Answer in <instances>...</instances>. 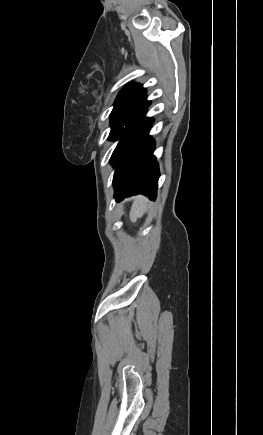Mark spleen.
<instances>
[{"label":"spleen","mask_w":263,"mask_h":435,"mask_svg":"<svg viewBox=\"0 0 263 435\" xmlns=\"http://www.w3.org/2000/svg\"><path fill=\"white\" fill-rule=\"evenodd\" d=\"M147 206L148 202L144 197H137L132 204L131 219L135 221L137 218L142 217L146 212Z\"/></svg>","instance_id":"1"}]
</instances>
